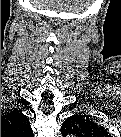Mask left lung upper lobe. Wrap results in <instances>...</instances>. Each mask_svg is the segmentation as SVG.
Returning a JSON list of instances; mask_svg holds the SVG:
<instances>
[{"mask_svg":"<svg viewBox=\"0 0 121 137\" xmlns=\"http://www.w3.org/2000/svg\"><path fill=\"white\" fill-rule=\"evenodd\" d=\"M61 132L67 133H85L99 136H106L108 132L102 126L97 125L92 120L82 115H73L65 120Z\"/></svg>","mask_w":121,"mask_h":137,"instance_id":"obj_1","label":"left lung upper lobe"}]
</instances>
